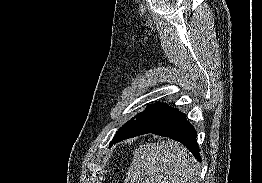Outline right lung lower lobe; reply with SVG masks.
Wrapping results in <instances>:
<instances>
[{"label":"right lung lower lobe","instance_id":"right-lung-lower-lobe-1","mask_svg":"<svg viewBox=\"0 0 262 183\" xmlns=\"http://www.w3.org/2000/svg\"><path fill=\"white\" fill-rule=\"evenodd\" d=\"M146 133H154L179 141L192 152L196 159L200 160L197 132L186 120L184 113L163 103L152 104L140 113L122 134L111 142V145Z\"/></svg>","mask_w":262,"mask_h":183}]
</instances>
